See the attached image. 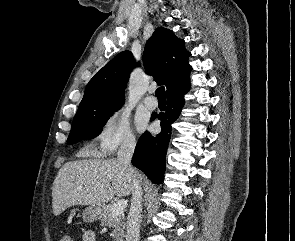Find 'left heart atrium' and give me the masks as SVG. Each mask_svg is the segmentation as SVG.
Here are the masks:
<instances>
[{
  "instance_id": "1",
  "label": "left heart atrium",
  "mask_w": 295,
  "mask_h": 241,
  "mask_svg": "<svg viewBox=\"0 0 295 241\" xmlns=\"http://www.w3.org/2000/svg\"><path fill=\"white\" fill-rule=\"evenodd\" d=\"M146 121L144 119H138L137 120V127L138 129L141 131V130H144L146 128Z\"/></svg>"
}]
</instances>
